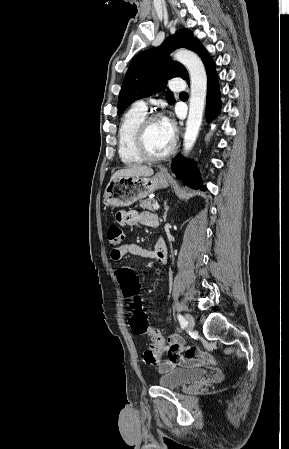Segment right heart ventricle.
Listing matches in <instances>:
<instances>
[{
    "label": "right heart ventricle",
    "instance_id": "e07e8e85",
    "mask_svg": "<svg viewBox=\"0 0 289 449\" xmlns=\"http://www.w3.org/2000/svg\"><path fill=\"white\" fill-rule=\"evenodd\" d=\"M145 117V110L133 106L122 119L119 128L118 152L122 162L126 165H136L144 161L136 150L135 135Z\"/></svg>",
    "mask_w": 289,
    "mask_h": 449
}]
</instances>
